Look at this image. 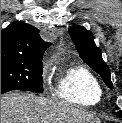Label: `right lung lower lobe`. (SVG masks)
I'll list each match as a JSON object with an SVG mask.
<instances>
[{
    "label": "right lung lower lobe",
    "mask_w": 122,
    "mask_h": 123,
    "mask_svg": "<svg viewBox=\"0 0 122 123\" xmlns=\"http://www.w3.org/2000/svg\"><path fill=\"white\" fill-rule=\"evenodd\" d=\"M8 91H11V90H1V94L8 92Z\"/></svg>",
    "instance_id": "obj_1"
}]
</instances>
